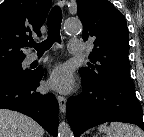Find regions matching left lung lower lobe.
I'll list each match as a JSON object with an SVG mask.
<instances>
[{
	"label": "left lung lower lobe",
	"instance_id": "1",
	"mask_svg": "<svg viewBox=\"0 0 144 137\" xmlns=\"http://www.w3.org/2000/svg\"><path fill=\"white\" fill-rule=\"evenodd\" d=\"M82 93L67 101V119L75 137L104 122L119 121L144 130L142 108L135 86L105 81L97 85L82 83Z\"/></svg>",
	"mask_w": 144,
	"mask_h": 137
}]
</instances>
